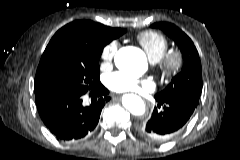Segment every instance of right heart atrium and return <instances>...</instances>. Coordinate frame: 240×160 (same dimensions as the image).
I'll return each mask as SVG.
<instances>
[{"mask_svg":"<svg viewBox=\"0 0 240 160\" xmlns=\"http://www.w3.org/2000/svg\"><path fill=\"white\" fill-rule=\"evenodd\" d=\"M117 49V41H111L103 47L101 51V60L103 65H110L113 62Z\"/></svg>","mask_w":240,"mask_h":160,"instance_id":"right-heart-atrium-1","label":"right heart atrium"}]
</instances>
